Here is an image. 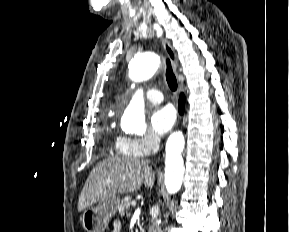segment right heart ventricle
<instances>
[{"label":"right heart ventricle","instance_id":"obj_1","mask_svg":"<svg viewBox=\"0 0 289 232\" xmlns=\"http://www.w3.org/2000/svg\"><path fill=\"white\" fill-rule=\"evenodd\" d=\"M118 138L115 140V144H117Z\"/></svg>","mask_w":289,"mask_h":232}]
</instances>
